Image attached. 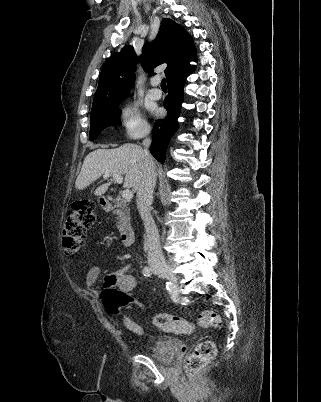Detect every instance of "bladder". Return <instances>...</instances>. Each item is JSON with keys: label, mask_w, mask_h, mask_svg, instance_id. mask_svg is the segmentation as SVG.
<instances>
[{"label": "bladder", "mask_w": 321, "mask_h": 402, "mask_svg": "<svg viewBox=\"0 0 321 402\" xmlns=\"http://www.w3.org/2000/svg\"><path fill=\"white\" fill-rule=\"evenodd\" d=\"M178 345L174 338L162 335L151 347L150 355L160 361L168 362L175 358Z\"/></svg>", "instance_id": "1"}]
</instances>
